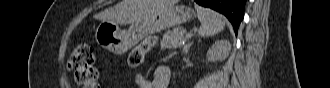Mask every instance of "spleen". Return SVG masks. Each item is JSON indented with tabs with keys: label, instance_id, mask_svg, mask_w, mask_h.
<instances>
[{
	"label": "spleen",
	"instance_id": "spleen-1",
	"mask_svg": "<svg viewBox=\"0 0 330 88\" xmlns=\"http://www.w3.org/2000/svg\"><path fill=\"white\" fill-rule=\"evenodd\" d=\"M197 14L201 21V26L199 28L200 36H213L224 29L226 19L220 13H217L211 9L200 7L197 10Z\"/></svg>",
	"mask_w": 330,
	"mask_h": 88
}]
</instances>
